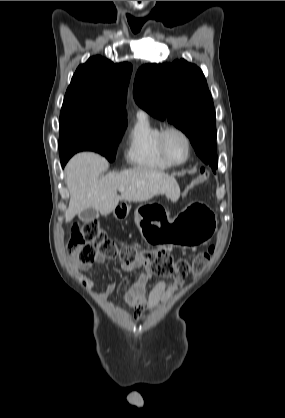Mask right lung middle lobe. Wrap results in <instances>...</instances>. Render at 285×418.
Listing matches in <instances>:
<instances>
[{
  "instance_id": "right-lung-middle-lobe-1",
  "label": "right lung middle lobe",
  "mask_w": 285,
  "mask_h": 418,
  "mask_svg": "<svg viewBox=\"0 0 285 418\" xmlns=\"http://www.w3.org/2000/svg\"><path fill=\"white\" fill-rule=\"evenodd\" d=\"M126 122L88 113L62 112L59 119V153L67 159L79 151H95L114 161Z\"/></svg>"
}]
</instances>
